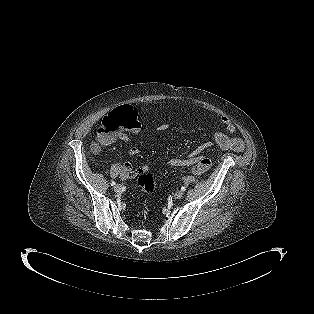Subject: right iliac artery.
<instances>
[{
	"label": "right iliac artery",
	"mask_w": 314,
	"mask_h": 314,
	"mask_svg": "<svg viewBox=\"0 0 314 314\" xmlns=\"http://www.w3.org/2000/svg\"><path fill=\"white\" fill-rule=\"evenodd\" d=\"M116 183L114 181L111 182V186H114Z\"/></svg>",
	"instance_id": "obj_1"
}]
</instances>
